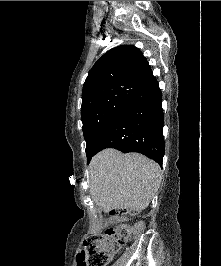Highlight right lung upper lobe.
Wrapping results in <instances>:
<instances>
[{
    "label": "right lung upper lobe",
    "mask_w": 221,
    "mask_h": 266,
    "mask_svg": "<svg viewBox=\"0 0 221 266\" xmlns=\"http://www.w3.org/2000/svg\"><path fill=\"white\" fill-rule=\"evenodd\" d=\"M153 73L141 51L133 45L115 47L97 60L85 80L82 98L89 93L120 85L141 87Z\"/></svg>",
    "instance_id": "cb5924a9"
}]
</instances>
